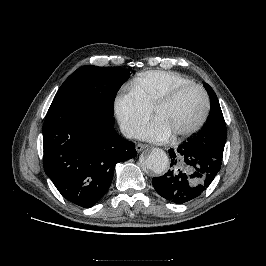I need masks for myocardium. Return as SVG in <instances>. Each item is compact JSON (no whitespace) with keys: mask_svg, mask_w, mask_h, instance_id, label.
<instances>
[{"mask_svg":"<svg viewBox=\"0 0 266 266\" xmlns=\"http://www.w3.org/2000/svg\"><path fill=\"white\" fill-rule=\"evenodd\" d=\"M193 88L198 89L204 97L203 113L201 117L199 118V120L194 125H192L191 127L185 130L174 133L173 134L174 138H184V137L191 136L197 131H199L202 128V126L205 124L209 116L210 107H211L210 97L206 89L200 84L193 83V82L176 86L173 89H171L169 92H167L162 98H160L156 102L154 107L152 108L153 116H155L159 110L171 104L181 93H183L184 91L188 89H193Z\"/></svg>","mask_w":266,"mask_h":266,"instance_id":"1","label":"myocardium"}]
</instances>
